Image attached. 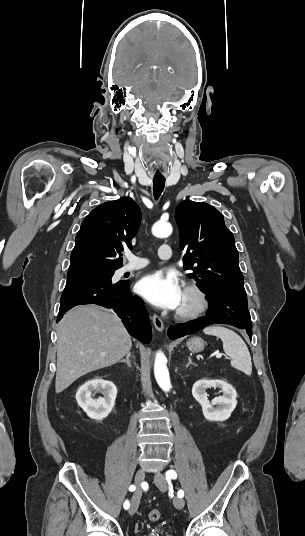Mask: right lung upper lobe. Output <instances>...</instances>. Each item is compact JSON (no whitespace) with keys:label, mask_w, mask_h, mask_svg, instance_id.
I'll use <instances>...</instances> for the list:
<instances>
[{"label":"right lung upper lobe","mask_w":305,"mask_h":536,"mask_svg":"<svg viewBox=\"0 0 305 536\" xmlns=\"http://www.w3.org/2000/svg\"><path fill=\"white\" fill-rule=\"evenodd\" d=\"M140 221V209L129 197L92 210L76 235L67 278L120 268L122 258L116 256L126 247L132 249Z\"/></svg>","instance_id":"obj_1"}]
</instances>
